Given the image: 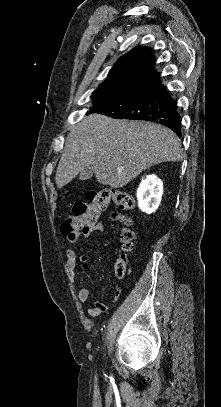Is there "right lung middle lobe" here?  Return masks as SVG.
<instances>
[{"label":"right lung middle lobe","mask_w":221,"mask_h":407,"mask_svg":"<svg viewBox=\"0 0 221 407\" xmlns=\"http://www.w3.org/2000/svg\"><path fill=\"white\" fill-rule=\"evenodd\" d=\"M140 87H138V85L136 84L126 89L98 88L93 92L91 96L94 102L92 110H98L114 102H117L118 100L128 96L130 93L139 89Z\"/></svg>","instance_id":"obj_1"}]
</instances>
